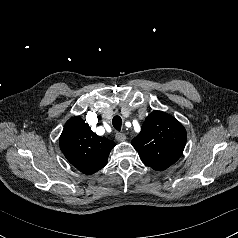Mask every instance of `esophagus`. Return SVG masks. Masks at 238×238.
I'll use <instances>...</instances> for the list:
<instances>
[{
    "label": "esophagus",
    "instance_id": "1",
    "mask_svg": "<svg viewBox=\"0 0 238 238\" xmlns=\"http://www.w3.org/2000/svg\"><path fill=\"white\" fill-rule=\"evenodd\" d=\"M115 139H116L118 142L125 141V140H126V135H125L124 133L118 132V133H116V135H115Z\"/></svg>",
    "mask_w": 238,
    "mask_h": 238
}]
</instances>
